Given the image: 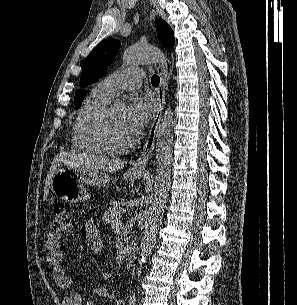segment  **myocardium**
Returning <instances> with one entry per match:
<instances>
[{"mask_svg":"<svg viewBox=\"0 0 297 305\" xmlns=\"http://www.w3.org/2000/svg\"><path fill=\"white\" fill-rule=\"evenodd\" d=\"M110 108L102 110L91 124V133L97 143L102 147L105 152L110 154H122L129 151L135 144V139H132L123 146H116L111 143L108 137V119L110 115Z\"/></svg>","mask_w":297,"mask_h":305,"instance_id":"obj_1","label":"myocardium"}]
</instances>
